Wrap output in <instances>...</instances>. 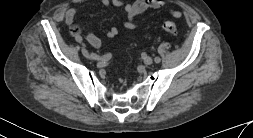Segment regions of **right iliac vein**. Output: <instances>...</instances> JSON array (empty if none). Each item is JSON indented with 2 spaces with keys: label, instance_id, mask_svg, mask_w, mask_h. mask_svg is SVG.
<instances>
[{
  "label": "right iliac vein",
  "instance_id": "63e3f726",
  "mask_svg": "<svg viewBox=\"0 0 253 138\" xmlns=\"http://www.w3.org/2000/svg\"><path fill=\"white\" fill-rule=\"evenodd\" d=\"M81 51H82V54H83L85 57L94 59V58L91 57V55L89 54V52L87 51L86 48L82 47Z\"/></svg>",
  "mask_w": 253,
  "mask_h": 138
}]
</instances>
